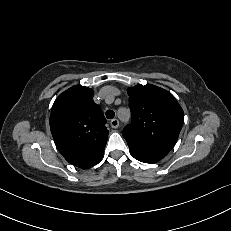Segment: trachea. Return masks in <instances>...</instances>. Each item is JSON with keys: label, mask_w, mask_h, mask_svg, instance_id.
Instances as JSON below:
<instances>
[{"label": "trachea", "mask_w": 231, "mask_h": 231, "mask_svg": "<svg viewBox=\"0 0 231 231\" xmlns=\"http://www.w3.org/2000/svg\"><path fill=\"white\" fill-rule=\"evenodd\" d=\"M114 116H115L114 111H112V110H107L106 111V117H107V119H113Z\"/></svg>", "instance_id": "3493384b"}]
</instances>
